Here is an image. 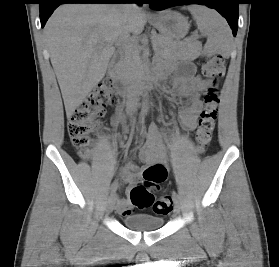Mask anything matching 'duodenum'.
I'll return each mask as SVG.
<instances>
[{"instance_id": "1", "label": "duodenum", "mask_w": 279, "mask_h": 267, "mask_svg": "<svg viewBox=\"0 0 279 267\" xmlns=\"http://www.w3.org/2000/svg\"><path fill=\"white\" fill-rule=\"evenodd\" d=\"M109 79L115 85L118 93L131 100L135 95L142 93L147 89L153 82L160 79V76L156 73L148 74L141 77L136 83L129 84L125 81L122 66L120 63H115L109 69Z\"/></svg>"}]
</instances>
